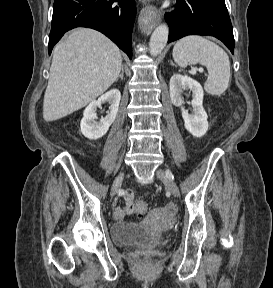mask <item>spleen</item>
Listing matches in <instances>:
<instances>
[{"label":"spleen","mask_w":273,"mask_h":288,"mask_svg":"<svg viewBox=\"0 0 273 288\" xmlns=\"http://www.w3.org/2000/svg\"><path fill=\"white\" fill-rule=\"evenodd\" d=\"M172 55L182 68L197 63L207 67L209 77L204 84L207 93L221 95L227 89L230 61L227 53L216 43L198 35H190L177 41Z\"/></svg>","instance_id":"3e777b00"}]
</instances>
